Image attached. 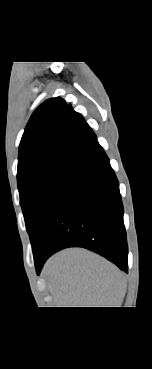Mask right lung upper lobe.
<instances>
[{
  "label": "right lung upper lobe",
  "mask_w": 152,
  "mask_h": 369,
  "mask_svg": "<svg viewBox=\"0 0 152 369\" xmlns=\"http://www.w3.org/2000/svg\"><path fill=\"white\" fill-rule=\"evenodd\" d=\"M97 144L96 135L79 113L59 97L49 99L34 111L25 128L17 179L58 162L77 163Z\"/></svg>",
  "instance_id": "cb5924a9"
}]
</instances>
